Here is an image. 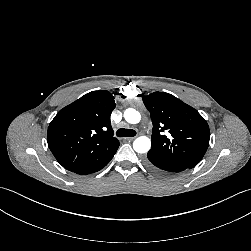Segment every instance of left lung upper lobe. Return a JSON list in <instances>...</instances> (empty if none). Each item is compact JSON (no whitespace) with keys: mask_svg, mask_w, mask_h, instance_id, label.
I'll return each instance as SVG.
<instances>
[{"mask_svg":"<svg viewBox=\"0 0 251 251\" xmlns=\"http://www.w3.org/2000/svg\"><path fill=\"white\" fill-rule=\"evenodd\" d=\"M153 129L148 153L195 167L203 158L210 139V130L197 110L175 96L154 92L143 97ZM167 132L165 135L163 132Z\"/></svg>","mask_w":251,"mask_h":251,"instance_id":"left-lung-upper-lobe-1","label":"left lung upper lobe"}]
</instances>
